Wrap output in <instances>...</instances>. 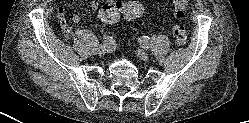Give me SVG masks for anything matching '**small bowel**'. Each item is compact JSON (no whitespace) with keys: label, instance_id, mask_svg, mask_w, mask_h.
I'll use <instances>...</instances> for the list:
<instances>
[{"label":"small bowel","instance_id":"small-bowel-1","mask_svg":"<svg viewBox=\"0 0 249 123\" xmlns=\"http://www.w3.org/2000/svg\"><path fill=\"white\" fill-rule=\"evenodd\" d=\"M87 1H88L90 8L92 10L97 11L99 9V3L97 0H87ZM111 2H115V0H105V3H111ZM57 18L60 21V26H61L62 31L67 35L70 34L71 28L69 27V25L66 22L65 12L62 9L58 10ZM71 18H72V21L74 23H79L81 21V14L79 12L75 11L72 14Z\"/></svg>","mask_w":249,"mask_h":123}]
</instances>
